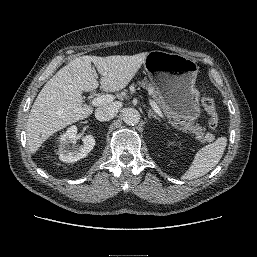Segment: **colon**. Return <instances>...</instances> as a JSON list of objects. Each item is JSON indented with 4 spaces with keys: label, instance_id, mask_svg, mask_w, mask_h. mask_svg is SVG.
<instances>
[{
    "label": "colon",
    "instance_id": "5ec220e1",
    "mask_svg": "<svg viewBox=\"0 0 257 257\" xmlns=\"http://www.w3.org/2000/svg\"><path fill=\"white\" fill-rule=\"evenodd\" d=\"M201 104L208 114L209 127L215 129L219 124V116L214 99L208 94H203L201 97Z\"/></svg>",
    "mask_w": 257,
    "mask_h": 257
}]
</instances>
